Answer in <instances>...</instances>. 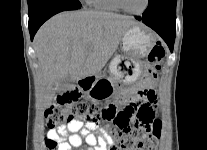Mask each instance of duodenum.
Masks as SVG:
<instances>
[{"label": "duodenum", "instance_id": "410a0bca", "mask_svg": "<svg viewBox=\"0 0 207 150\" xmlns=\"http://www.w3.org/2000/svg\"><path fill=\"white\" fill-rule=\"evenodd\" d=\"M94 79L91 76H85L81 79L80 84L82 86L88 87L91 86V84L93 83Z\"/></svg>", "mask_w": 207, "mask_h": 150}]
</instances>
